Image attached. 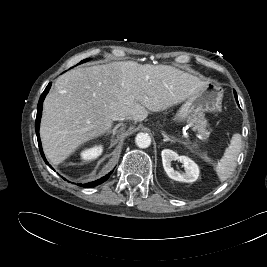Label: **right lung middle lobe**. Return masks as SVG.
Wrapping results in <instances>:
<instances>
[{
  "label": "right lung middle lobe",
  "instance_id": "right-lung-middle-lobe-1",
  "mask_svg": "<svg viewBox=\"0 0 267 267\" xmlns=\"http://www.w3.org/2000/svg\"><path fill=\"white\" fill-rule=\"evenodd\" d=\"M89 59H85V60H83V61H81L79 64H81V63H83V62H86V61H88Z\"/></svg>",
  "mask_w": 267,
  "mask_h": 267
}]
</instances>
